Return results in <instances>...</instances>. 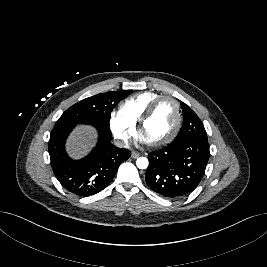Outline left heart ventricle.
<instances>
[{"label": "left heart ventricle", "instance_id": "obj_1", "mask_svg": "<svg viewBox=\"0 0 267 267\" xmlns=\"http://www.w3.org/2000/svg\"><path fill=\"white\" fill-rule=\"evenodd\" d=\"M176 123V108L171 101H163L155 110L141 132L145 142H155L166 137Z\"/></svg>", "mask_w": 267, "mask_h": 267}]
</instances>
